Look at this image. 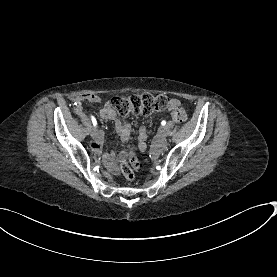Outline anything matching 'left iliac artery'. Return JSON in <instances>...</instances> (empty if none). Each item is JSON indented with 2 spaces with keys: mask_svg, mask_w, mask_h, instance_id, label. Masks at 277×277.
<instances>
[{
  "mask_svg": "<svg viewBox=\"0 0 277 277\" xmlns=\"http://www.w3.org/2000/svg\"><path fill=\"white\" fill-rule=\"evenodd\" d=\"M161 124H162L163 126L166 125V121L163 120V121L161 122Z\"/></svg>",
  "mask_w": 277,
  "mask_h": 277,
  "instance_id": "left-iliac-artery-1",
  "label": "left iliac artery"
}]
</instances>
